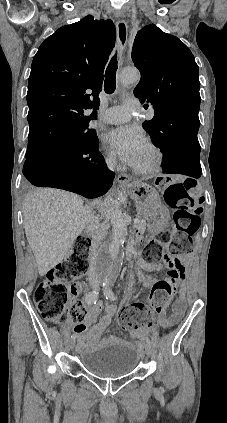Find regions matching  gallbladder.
<instances>
[{
    "instance_id": "1",
    "label": "gallbladder",
    "mask_w": 227,
    "mask_h": 423,
    "mask_svg": "<svg viewBox=\"0 0 227 423\" xmlns=\"http://www.w3.org/2000/svg\"><path fill=\"white\" fill-rule=\"evenodd\" d=\"M26 186H28V188H30V184H27V182H26Z\"/></svg>"
}]
</instances>
